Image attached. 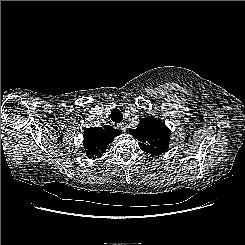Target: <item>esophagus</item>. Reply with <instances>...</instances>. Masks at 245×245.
I'll list each match as a JSON object with an SVG mask.
<instances>
[{
    "mask_svg": "<svg viewBox=\"0 0 245 245\" xmlns=\"http://www.w3.org/2000/svg\"><path fill=\"white\" fill-rule=\"evenodd\" d=\"M117 127L122 131V132H125L126 131V125H125V123H119L118 125H117Z\"/></svg>",
    "mask_w": 245,
    "mask_h": 245,
    "instance_id": "34e87169",
    "label": "esophagus"
}]
</instances>
